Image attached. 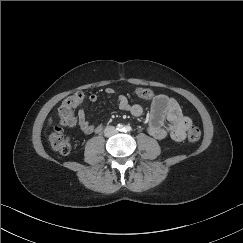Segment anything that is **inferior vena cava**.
Instances as JSON below:
<instances>
[{"label": "inferior vena cava", "instance_id": "inferior-vena-cava-1", "mask_svg": "<svg viewBox=\"0 0 243 243\" xmlns=\"http://www.w3.org/2000/svg\"><path fill=\"white\" fill-rule=\"evenodd\" d=\"M117 133V129L114 126H107L104 130V135L106 137H111Z\"/></svg>", "mask_w": 243, "mask_h": 243}]
</instances>
